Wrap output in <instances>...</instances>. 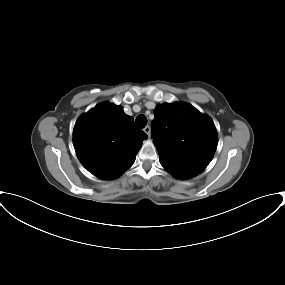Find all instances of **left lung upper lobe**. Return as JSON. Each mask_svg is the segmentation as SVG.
I'll use <instances>...</instances> for the list:
<instances>
[{"label":"left lung upper lobe","mask_w":285,"mask_h":285,"mask_svg":"<svg viewBox=\"0 0 285 285\" xmlns=\"http://www.w3.org/2000/svg\"><path fill=\"white\" fill-rule=\"evenodd\" d=\"M154 116L151 137L160 160L202 172L218 144L211 118L186 103L158 105Z\"/></svg>","instance_id":"5c2ea615"}]
</instances>
